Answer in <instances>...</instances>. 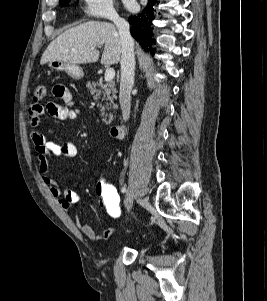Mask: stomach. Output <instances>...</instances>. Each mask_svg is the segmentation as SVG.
Returning a JSON list of instances; mask_svg holds the SVG:
<instances>
[{"instance_id":"stomach-1","label":"stomach","mask_w":267,"mask_h":301,"mask_svg":"<svg viewBox=\"0 0 267 301\" xmlns=\"http://www.w3.org/2000/svg\"><path fill=\"white\" fill-rule=\"evenodd\" d=\"M49 67L57 71L66 72L71 78L80 80L84 76L83 69L77 64H71L63 61H50Z\"/></svg>"}]
</instances>
